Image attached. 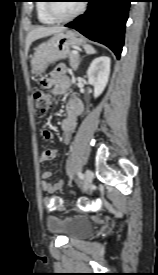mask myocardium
Wrapping results in <instances>:
<instances>
[{"label":"myocardium","mask_w":158,"mask_h":275,"mask_svg":"<svg viewBox=\"0 0 158 275\" xmlns=\"http://www.w3.org/2000/svg\"><path fill=\"white\" fill-rule=\"evenodd\" d=\"M48 2H53V1H48ZM54 4L55 3H47L46 5V9L48 14L55 20V21H59V22H66L69 20L74 19L75 17H77L78 15H80L84 9H85V4L84 3H80L79 7L70 15L68 16H60L56 13L55 8H54Z\"/></svg>","instance_id":"myocardium-1"}]
</instances>
